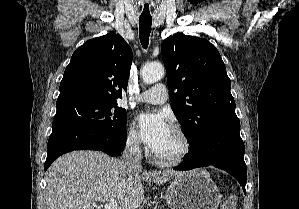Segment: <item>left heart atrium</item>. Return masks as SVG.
<instances>
[{
	"label": "left heart atrium",
	"mask_w": 299,
	"mask_h": 209,
	"mask_svg": "<svg viewBox=\"0 0 299 209\" xmlns=\"http://www.w3.org/2000/svg\"><path fill=\"white\" fill-rule=\"evenodd\" d=\"M141 139L154 150L167 136L171 127L163 112H143L136 118Z\"/></svg>",
	"instance_id": "1"
}]
</instances>
